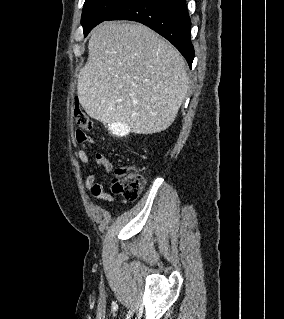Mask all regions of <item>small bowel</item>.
<instances>
[{"mask_svg": "<svg viewBox=\"0 0 284 319\" xmlns=\"http://www.w3.org/2000/svg\"><path fill=\"white\" fill-rule=\"evenodd\" d=\"M75 140L78 144L81 145V147L76 150L77 158L82 163H89L92 157L87 152V148L93 143L92 138H90L82 130H77L75 132ZM94 162L96 165L102 167L107 173L111 172L113 169V164L111 163V161L102 153L95 154ZM85 186L96 199L102 200L106 203H111L113 201V197L105 192V183L102 181H98L97 176L94 172H91L87 176L85 180Z\"/></svg>", "mask_w": 284, "mask_h": 319, "instance_id": "c3829d8e", "label": "small bowel"}]
</instances>
